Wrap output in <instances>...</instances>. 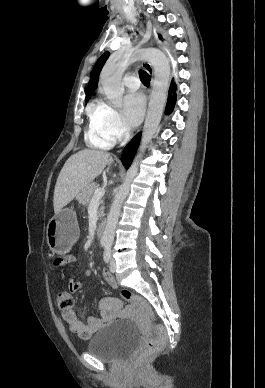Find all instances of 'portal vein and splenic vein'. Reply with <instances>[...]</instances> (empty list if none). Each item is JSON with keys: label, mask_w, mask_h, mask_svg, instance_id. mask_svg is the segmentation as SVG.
Here are the masks:
<instances>
[{"label": "portal vein and splenic vein", "mask_w": 265, "mask_h": 388, "mask_svg": "<svg viewBox=\"0 0 265 388\" xmlns=\"http://www.w3.org/2000/svg\"><path fill=\"white\" fill-rule=\"evenodd\" d=\"M104 194H105L104 188H97V190H95L93 194L92 200H95V198H103Z\"/></svg>", "instance_id": "1"}]
</instances>
